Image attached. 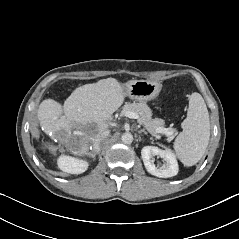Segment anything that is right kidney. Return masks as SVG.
<instances>
[{
    "mask_svg": "<svg viewBox=\"0 0 239 239\" xmlns=\"http://www.w3.org/2000/svg\"><path fill=\"white\" fill-rule=\"evenodd\" d=\"M57 163L63 172L70 174H80L88 168V162L66 155L60 156Z\"/></svg>",
    "mask_w": 239,
    "mask_h": 239,
    "instance_id": "ca27d5eb",
    "label": "right kidney"
}]
</instances>
